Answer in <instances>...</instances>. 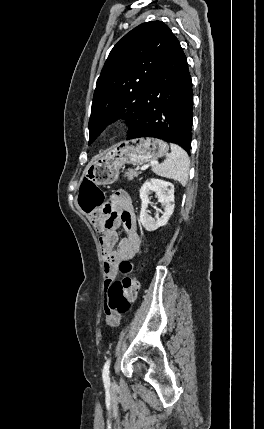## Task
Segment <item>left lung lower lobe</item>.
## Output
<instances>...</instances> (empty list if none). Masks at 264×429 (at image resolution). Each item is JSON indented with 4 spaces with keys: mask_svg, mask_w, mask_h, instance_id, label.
<instances>
[{
    "mask_svg": "<svg viewBox=\"0 0 264 429\" xmlns=\"http://www.w3.org/2000/svg\"><path fill=\"white\" fill-rule=\"evenodd\" d=\"M193 91L185 54L172 34L153 81L145 93L138 121L127 139L154 137L191 144Z\"/></svg>",
    "mask_w": 264,
    "mask_h": 429,
    "instance_id": "obj_1",
    "label": "left lung lower lobe"
}]
</instances>
